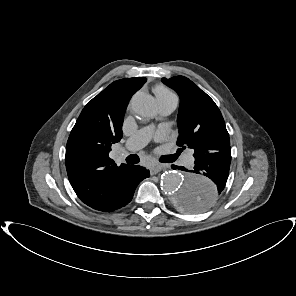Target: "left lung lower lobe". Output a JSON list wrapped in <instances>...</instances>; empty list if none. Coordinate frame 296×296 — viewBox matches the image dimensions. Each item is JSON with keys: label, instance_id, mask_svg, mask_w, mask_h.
<instances>
[{"label": "left lung lower lobe", "instance_id": "1", "mask_svg": "<svg viewBox=\"0 0 296 296\" xmlns=\"http://www.w3.org/2000/svg\"><path fill=\"white\" fill-rule=\"evenodd\" d=\"M230 162L231 149H224L217 153H210L201 158H196L192 170H187L182 166H172L173 169L190 172L188 177L207 176L215 183L213 191L199 192L198 195H184L182 202H184L185 209L200 212L214 203L226 185Z\"/></svg>", "mask_w": 296, "mask_h": 296}]
</instances>
